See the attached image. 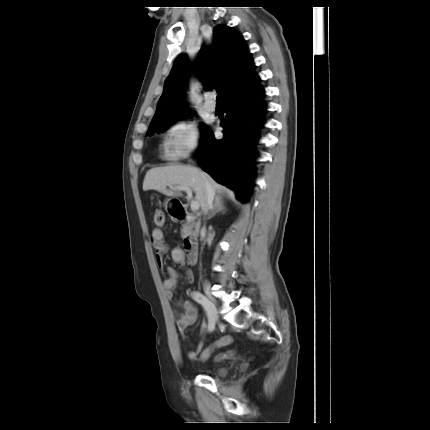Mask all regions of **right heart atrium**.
I'll return each mask as SVG.
<instances>
[{"label":"right heart atrium","mask_w":430,"mask_h":430,"mask_svg":"<svg viewBox=\"0 0 430 430\" xmlns=\"http://www.w3.org/2000/svg\"><path fill=\"white\" fill-rule=\"evenodd\" d=\"M198 142L196 124L188 118H180L166 129L162 151L168 159L177 160L196 150Z\"/></svg>","instance_id":"right-heart-atrium-1"}]
</instances>
